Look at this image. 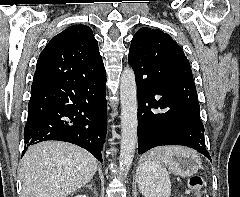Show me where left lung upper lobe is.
Segmentation results:
<instances>
[{"label": "left lung upper lobe", "mask_w": 240, "mask_h": 197, "mask_svg": "<svg viewBox=\"0 0 240 197\" xmlns=\"http://www.w3.org/2000/svg\"><path fill=\"white\" fill-rule=\"evenodd\" d=\"M128 60L134 72L163 76L172 82H193L189 61L182 48L166 33L143 27L134 35Z\"/></svg>", "instance_id": "left-lung-upper-lobe-1"}]
</instances>
